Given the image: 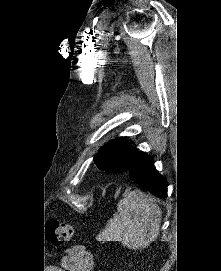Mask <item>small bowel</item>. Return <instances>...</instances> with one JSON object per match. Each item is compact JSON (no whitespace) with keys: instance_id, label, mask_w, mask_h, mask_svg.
I'll use <instances>...</instances> for the list:
<instances>
[{"instance_id":"small-bowel-1","label":"small bowel","mask_w":221,"mask_h":271,"mask_svg":"<svg viewBox=\"0 0 221 271\" xmlns=\"http://www.w3.org/2000/svg\"><path fill=\"white\" fill-rule=\"evenodd\" d=\"M62 266L66 271H93L94 257L83 245H74L65 251Z\"/></svg>"}]
</instances>
